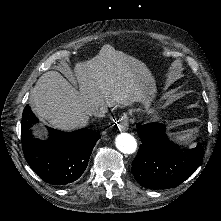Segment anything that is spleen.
<instances>
[{
  "label": "spleen",
  "mask_w": 221,
  "mask_h": 221,
  "mask_svg": "<svg viewBox=\"0 0 221 221\" xmlns=\"http://www.w3.org/2000/svg\"><path fill=\"white\" fill-rule=\"evenodd\" d=\"M195 140V137L193 134H186V135H182L178 138L175 139V142H177L178 144H182L186 141H192Z\"/></svg>",
  "instance_id": "spleen-1"
}]
</instances>
